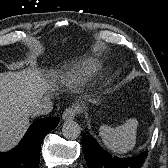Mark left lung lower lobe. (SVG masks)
I'll return each instance as SVG.
<instances>
[{"label": "left lung lower lobe", "mask_w": 168, "mask_h": 168, "mask_svg": "<svg viewBox=\"0 0 168 168\" xmlns=\"http://www.w3.org/2000/svg\"><path fill=\"white\" fill-rule=\"evenodd\" d=\"M83 154L88 168H140L147 156V151L132 158L113 157L103 150L95 138L82 132Z\"/></svg>", "instance_id": "obj_1"}]
</instances>
